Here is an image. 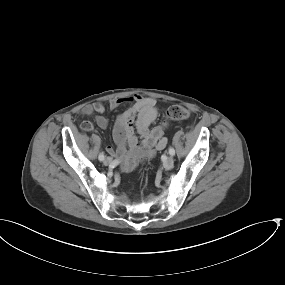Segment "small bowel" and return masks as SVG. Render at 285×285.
<instances>
[{
    "mask_svg": "<svg viewBox=\"0 0 285 285\" xmlns=\"http://www.w3.org/2000/svg\"><path fill=\"white\" fill-rule=\"evenodd\" d=\"M123 104H127V108L119 116L114 128L117 147L109 146L108 151L119 156L122 170L130 172L138 166L141 159H151L156 151L166 147L167 139L164 137V132L168 122L163 121L156 127H150L158 113V106L153 98L133 95L125 99L111 100L108 107L110 110H116ZM105 110L106 106L103 103L96 102L84 106L81 112L83 115H90L102 114ZM95 122L101 128L110 125L109 119L103 115L96 116ZM81 128L90 131L93 123L85 121ZM136 133L140 137V142Z\"/></svg>",
    "mask_w": 285,
    "mask_h": 285,
    "instance_id": "c3829d8e",
    "label": "small bowel"
}]
</instances>
